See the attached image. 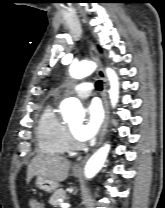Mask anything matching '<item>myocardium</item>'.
<instances>
[{"label": "myocardium", "mask_w": 165, "mask_h": 208, "mask_svg": "<svg viewBox=\"0 0 165 208\" xmlns=\"http://www.w3.org/2000/svg\"><path fill=\"white\" fill-rule=\"evenodd\" d=\"M66 135H67V144L70 149H81L83 147L81 142L76 138V136L68 126H66Z\"/></svg>", "instance_id": "f54148a6"}]
</instances>
